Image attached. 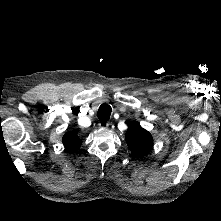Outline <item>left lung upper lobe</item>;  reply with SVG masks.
I'll list each match as a JSON object with an SVG mask.
<instances>
[{
  "instance_id": "obj_1",
  "label": "left lung upper lobe",
  "mask_w": 221,
  "mask_h": 221,
  "mask_svg": "<svg viewBox=\"0 0 221 221\" xmlns=\"http://www.w3.org/2000/svg\"><path fill=\"white\" fill-rule=\"evenodd\" d=\"M125 139L134 157L147 154L153 146L151 134L136 123L129 126Z\"/></svg>"
}]
</instances>
